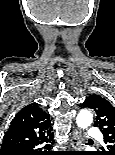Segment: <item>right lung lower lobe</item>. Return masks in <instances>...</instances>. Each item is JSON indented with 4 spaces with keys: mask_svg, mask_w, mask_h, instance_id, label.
<instances>
[{
    "mask_svg": "<svg viewBox=\"0 0 115 155\" xmlns=\"http://www.w3.org/2000/svg\"><path fill=\"white\" fill-rule=\"evenodd\" d=\"M53 135L44 140L34 141L17 148L4 151L0 155H49L47 151H42L40 145L43 143L51 142ZM46 149H49V145H45Z\"/></svg>",
    "mask_w": 115,
    "mask_h": 155,
    "instance_id": "right-lung-lower-lobe-1",
    "label": "right lung lower lobe"
}]
</instances>
